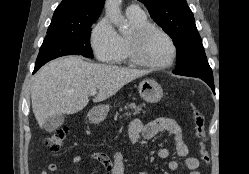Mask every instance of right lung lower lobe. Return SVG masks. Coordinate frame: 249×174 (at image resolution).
Instances as JSON below:
<instances>
[{
	"label": "right lung lower lobe",
	"instance_id": "obj_1",
	"mask_svg": "<svg viewBox=\"0 0 249 174\" xmlns=\"http://www.w3.org/2000/svg\"><path fill=\"white\" fill-rule=\"evenodd\" d=\"M41 66H35L34 72L35 73Z\"/></svg>",
	"mask_w": 249,
	"mask_h": 174
}]
</instances>
